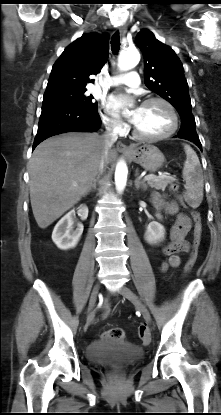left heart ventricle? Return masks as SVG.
Returning <instances> with one entry per match:
<instances>
[{"mask_svg": "<svg viewBox=\"0 0 221 415\" xmlns=\"http://www.w3.org/2000/svg\"><path fill=\"white\" fill-rule=\"evenodd\" d=\"M134 125L143 134L160 135L171 128L172 118L165 105L153 102L136 110Z\"/></svg>", "mask_w": 221, "mask_h": 415, "instance_id": "left-heart-ventricle-1", "label": "left heart ventricle"}]
</instances>
